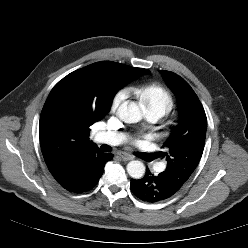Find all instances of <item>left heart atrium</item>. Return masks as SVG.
Here are the masks:
<instances>
[{
	"mask_svg": "<svg viewBox=\"0 0 248 248\" xmlns=\"http://www.w3.org/2000/svg\"><path fill=\"white\" fill-rule=\"evenodd\" d=\"M139 141V138H135L134 142L137 143Z\"/></svg>",
	"mask_w": 248,
	"mask_h": 248,
	"instance_id": "obj_1",
	"label": "left heart atrium"
}]
</instances>
